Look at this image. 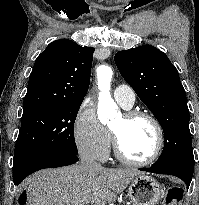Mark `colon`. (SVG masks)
Returning a JSON list of instances; mask_svg holds the SVG:
<instances>
[{"mask_svg":"<svg viewBox=\"0 0 199 205\" xmlns=\"http://www.w3.org/2000/svg\"><path fill=\"white\" fill-rule=\"evenodd\" d=\"M183 188L180 186H172L167 190L166 196L162 205H182Z\"/></svg>","mask_w":199,"mask_h":205,"instance_id":"1","label":"colon"}]
</instances>
